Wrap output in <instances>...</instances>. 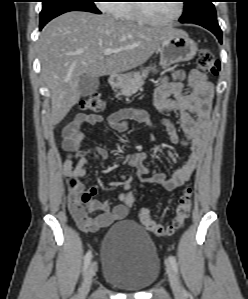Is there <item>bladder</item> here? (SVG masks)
Here are the masks:
<instances>
[{"mask_svg":"<svg viewBox=\"0 0 248 299\" xmlns=\"http://www.w3.org/2000/svg\"><path fill=\"white\" fill-rule=\"evenodd\" d=\"M159 271L156 246L139 224L122 221L109 229L102 268L108 283L123 291H141L154 283Z\"/></svg>","mask_w":248,"mask_h":299,"instance_id":"31cf9c89","label":"bladder"}]
</instances>
